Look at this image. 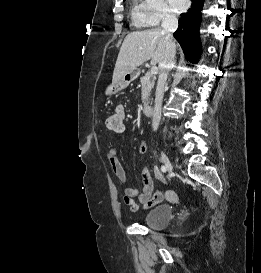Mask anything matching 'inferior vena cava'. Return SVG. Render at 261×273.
Instances as JSON below:
<instances>
[{
  "label": "inferior vena cava",
  "instance_id": "602c4592",
  "mask_svg": "<svg viewBox=\"0 0 261 273\" xmlns=\"http://www.w3.org/2000/svg\"><path fill=\"white\" fill-rule=\"evenodd\" d=\"M163 30L166 33V51L163 61L159 65V78L156 87L155 104L152 118V127L156 131L161 120L162 100L164 88L170 70L174 67L175 58V42L173 33L178 28V19L175 14L166 11L163 15L162 24Z\"/></svg>",
  "mask_w": 261,
  "mask_h": 273
}]
</instances>
